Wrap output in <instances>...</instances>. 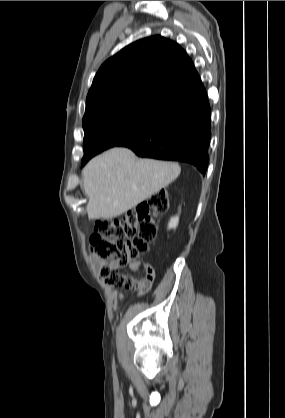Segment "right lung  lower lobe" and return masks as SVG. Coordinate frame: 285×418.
Instances as JSON below:
<instances>
[{
	"label": "right lung lower lobe",
	"mask_w": 285,
	"mask_h": 418,
	"mask_svg": "<svg viewBox=\"0 0 285 418\" xmlns=\"http://www.w3.org/2000/svg\"><path fill=\"white\" fill-rule=\"evenodd\" d=\"M210 138L211 108L203 88L170 106L156 122L119 146L140 157L190 163L205 174Z\"/></svg>",
	"instance_id": "98d812e1"
}]
</instances>
